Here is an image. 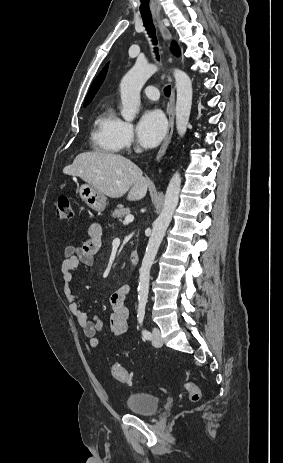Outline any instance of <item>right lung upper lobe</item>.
Instances as JSON below:
<instances>
[{"instance_id": "right-lung-upper-lobe-1", "label": "right lung upper lobe", "mask_w": 283, "mask_h": 463, "mask_svg": "<svg viewBox=\"0 0 283 463\" xmlns=\"http://www.w3.org/2000/svg\"><path fill=\"white\" fill-rule=\"evenodd\" d=\"M107 69H108V64L102 69V71L99 73V75L96 77V79L92 83L91 88L89 90V93H88V95H87V97H86V99L84 101V104L85 103L89 104L92 101V99L94 98V96L97 93L99 87L101 86V84L104 81Z\"/></svg>"}]
</instances>
